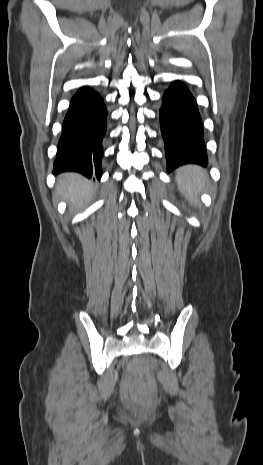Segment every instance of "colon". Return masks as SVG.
I'll return each mask as SVG.
<instances>
[{
	"label": "colon",
	"mask_w": 263,
	"mask_h": 465,
	"mask_svg": "<svg viewBox=\"0 0 263 465\" xmlns=\"http://www.w3.org/2000/svg\"><path fill=\"white\" fill-rule=\"evenodd\" d=\"M136 388H137V395L138 397L146 402L150 403L152 401V396L148 392V385L146 380L142 376H138L135 378Z\"/></svg>",
	"instance_id": "colon-1"
}]
</instances>
